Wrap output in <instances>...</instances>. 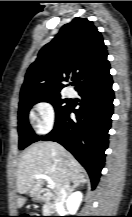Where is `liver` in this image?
Masks as SVG:
<instances>
[{
	"mask_svg": "<svg viewBox=\"0 0 132 217\" xmlns=\"http://www.w3.org/2000/svg\"><path fill=\"white\" fill-rule=\"evenodd\" d=\"M79 162L56 142H38L28 147L21 156L17 169V190L20 194L35 197L42 189L45 179L35 175L45 174L55 183L58 194L66 180L76 181L82 175ZM26 198L19 196L17 208H21Z\"/></svg>",
	"mask_w": 132,
	"mask_h": 217,
	"instance_id": "liver-1",
	"label": "liver"
}]
</instances>
